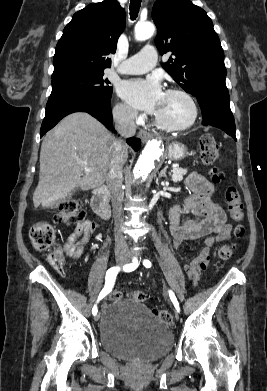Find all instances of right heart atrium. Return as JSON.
<instances>
[{
  "mask_svg": "<svg viewBox=\"0 0 267 391\" xmlns=\"http://www.w3.org/2000/svg\"><path fill=\"white\" fill-rule=\"evenodd\" d=\"M115 120L120 124L131 125L141 119V116L129 105L117 103L113 110Z\"/></svg>",
  "mask_w": 267,
  "mask_h": 391,
  "instance_id": "d8ad5b80",
  "label": "right heart atrium"
}]
</instances>
